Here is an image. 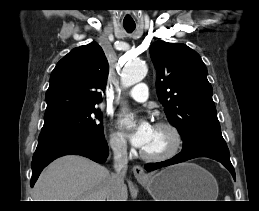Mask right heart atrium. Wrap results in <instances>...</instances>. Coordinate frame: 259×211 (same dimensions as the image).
<instances>
[{
    "instance_id": "obj_1",
    "label": "right heart atrium",
    "mask_w": 259,
    "mask_h": 211,
    "mask_svg": "<svg viewBox=\"0 0 259 211\" xmlns=\"http://www.w3.org/2000/svg\"><path fill=\"white\" fill-rule=\"evenodd\" d=\"M109 146L115 155L122 157L127 152V145L123 136L118 132H111L109 135Z\"/></svg>"
}]
</instances>
